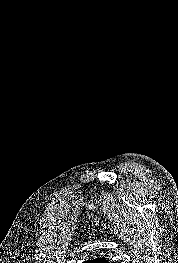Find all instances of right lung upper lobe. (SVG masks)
<instances>
[{
	"label": "right lung upper lobe",
	"mask_w": 178,
	"mask_h": 263,
	"mask_svg": "<svg viewBox=\"0 0 178 263\" xmlns=\"http://www.w3.org/2000/svg\"><path fill=\"white\" fill-rule=\"evenodd\" d=\"M84 263H109V260L106 258H95L91 260L84 261Z\"/></svg>",
	"instance_id": "cb5924a9"
}]
</instances>
